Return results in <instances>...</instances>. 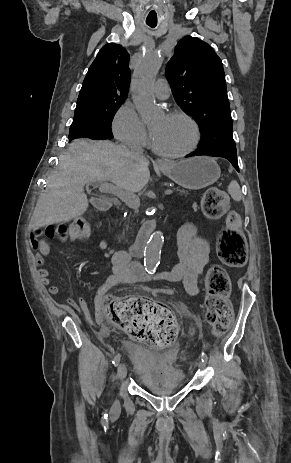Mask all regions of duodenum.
Instances as JSON below:
<instances>
[{
  "instance_id": "duodenum-1",
  "label": "duodenum",
  "mask_w": 291,
  "mask_h": 463,
  "mask_svg": "<svg viewBox=\"0 0 291 463\" xmlns=\"http://www.w3.org/2000/svg\"><path fill=\"white\" fill-rule=\"evenodd\" d=\"M94 203L100 210H106V209L110 210L111 209L110 203L106 199L95 198ZM154 227H155V222L153 220H148L141 226L139 233L137 235V238L130 248L131 254L137 257H141L143 255L146 241L150 233L153 231ZM148 275L149 274L147 273L146 276Z\"/></svg>"
}]
</instances>
